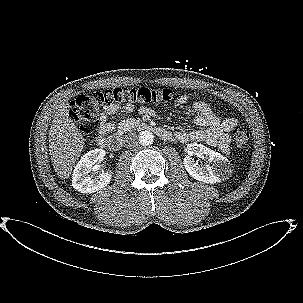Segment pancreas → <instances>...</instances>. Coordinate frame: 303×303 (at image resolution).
Segmentation results:
<instances>
[{
  "instance_id": "pancreas-1",
  "label": "pancreas",
  "mask_w": 303,
  "mask_h": 303,
  "mask_svg": "<svg viewBox=\"0 0 303 303\" xmlns=\"http://www.w3.org/2000/svg\"><path fill=\"white\" fill-rule=\"evenodd\" d=\"M140 125V121L130 118L120 123L118 133L121 135L126 131H130Z\"/></svg>"
}]
</instances>
